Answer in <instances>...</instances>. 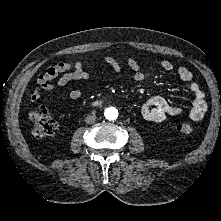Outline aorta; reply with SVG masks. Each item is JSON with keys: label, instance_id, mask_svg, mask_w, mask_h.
<instances>
[{"label": "aorta", "instance_id": "aorta-1", "mask_svg": "<svg viewBox=\"0 0 221 221\" xmlns=\"http://www.w3.org/2000/svg\"><path fill=\"white\" fill-rule=\"evenodd\" d=\"M104 115L108 120H115L118 118V110L115 107H108L105 109Z\"/></svg>", "mask_w": 221, "mask_h": 221}]
</instances>
